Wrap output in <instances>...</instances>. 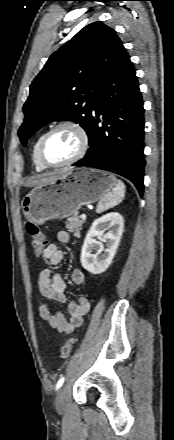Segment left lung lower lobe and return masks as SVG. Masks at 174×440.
I'll use <instances>...</instances> for the list:
<instances>
[{
  "label": "left lung lower lobe",
  "instance_id": "0a47b994",
  "mask_svg": "<svg viewBox=\"0 0 174 440\" xmlns=\"http://www.w3.org/2000/svg\"><path fill=\"white\" fill-rule=\"evenodd\" d=\"M92 112L86 131L90 148L73 166H88L124 176L142 196L146 163L143 99L125 49L108 73Z\"/></svg>",
  "mask_w": 174,
  "mask_h": 440
}]
</instances>
